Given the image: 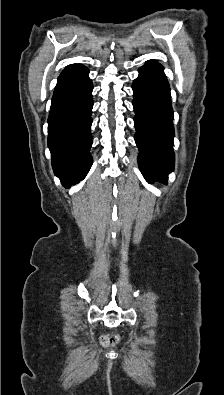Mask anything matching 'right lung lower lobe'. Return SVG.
<instances>
[{
    "mask_svg": "<svg viewBox=\"0 0 224 395\" xmlns=\"http://www.w3.org/2000/svg\"><path fill=\"white\" fill-rule=\"evenodd\" d=\"M88 69L67 66L58 77L48 118V147L63 186L84 179L91 165L92 81Z\"/></svg>",
    "mask_w": 224,
    "mask_h": 395,
    "instance_id": "1",
    "label": "right lung lower lobe"
}]
</instances>
